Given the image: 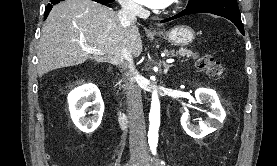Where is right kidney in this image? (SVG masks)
Listing matches in <instances>:
<instances>
[{
	"instance_id": "right-kidney-1",
	"label": "right kidney",
	"mask_w": 277,
	"mask_h": 166,
	"mask_svg": "<svg viewBox=\"0 0 277 166\" xmlns=\"http://www.w3.org/2000/svg\"><path fill=\"white\" fill-rule=\"evenodd\" d=\"M69 111L75 126L83 132H93L101 123L104 103L97 86L85 84L72 90L68 95ZM91 118H86L88 107Z\"/></svg>"
}]
</instances>
